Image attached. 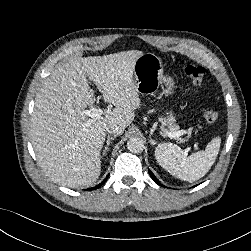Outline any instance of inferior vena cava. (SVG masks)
<instances>
[{
	"label": "inferior vena cava",
	"instance_id": "602c4592",
	"mask_svg": "<svg viewBox=\"0 0 251 251\" xmlns=\"http://www.w3.org/2000/svg\"><path fill=\"white\" fill-rule=\"evenodd\" d=\"M124 131V128L122 126H119V125H109L106 127V132L109 133V134H117V135H120L122 134Z\"/></svg>",
	"mask_w": 251,
	"mask_h": 251
}]
</instances>
